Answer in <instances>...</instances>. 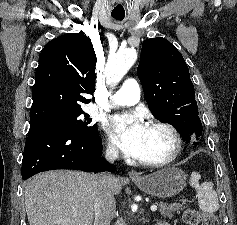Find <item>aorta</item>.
Masks as SVG:
<instances>
[{
    "mask_svg": "<svg viewBox=\"0 0 237 225\" xmlns=\"http://www.w3.org/2000/svg\"><path fill=\"white\" fill-rule=\"evenodd\" d=\"M136 59L137 53L133 48L120 50L110 57L105 70L107 82L110 84L118 83L135 63Z\"/></svg>",
    "mask_w": 237,
    "mask_h": 225,
    "instance_id": "obj_1",
    "label": "aorta"
}]
</instances>
